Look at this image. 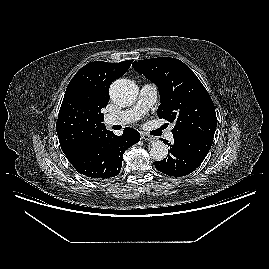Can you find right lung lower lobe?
I'll use <instances>...</instances> for the list:
<instances>
[{"mask_svg":"<svg viewBox=\"0 0 269 269\" xmlns=\"http://www.w3.org/2000/svg\"><path fill=\"white\" fill-rule=\"evenodd\" d=\"M139 140L140 133L133 128H125L122 136L107 131L66 157L78 173L95 180L109 179L119 174L125 150Z\"/></svg>","mask_w":269,"mask_h":269,"instance_id":"1","label":"right lung lower lobe"}]
</instances>
